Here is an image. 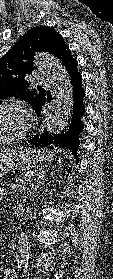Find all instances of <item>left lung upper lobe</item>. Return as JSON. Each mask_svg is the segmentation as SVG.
Listing matches in <instances>:
<instances>
[{"mask_svg": "<svg viewBox=\"0 0 113 279\" xmlns=\"http://www.w3.org/2000/svg\"><path fill=\"white\" fill-rule=\"evenodd\" d=\"M42 51L62 60L70 50L63 37L53 29L46 26L32 28L0 58V99L18 96L34 109L35 104L44 97V93L40 87L41 94L28 90L26 75L34 70L35 53Z\"/></svg>", "mask_w": 113, "mask_h": 279, "instance_id": "left-lung-upper-lobe-1", "label": "left lung upper lobe"}]
</instances>
